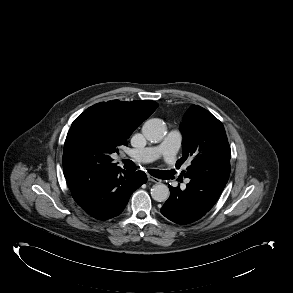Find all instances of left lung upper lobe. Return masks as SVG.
Wrapping results in <instances>:
<instances>
[{
    "label": "left lung upper lobe",
    "instance_id": "left-lung-upper-lobe-1",
    "mask_svg": "<svg viewBox=\"0 0 293 293\" xmlns=\"http://www.w3.org/2000/svg\"><path fill=\"white\" fill-rule=\"evenodd\" d=\"M180 130L183 156L176 166L180 167L188 156H193L186 177L226 184L231 150L222 123L206 109L192 105L183 117Z\"/></svg>",
    "mask_w": 293,
    "mask_h": 293
}]
</instances>
